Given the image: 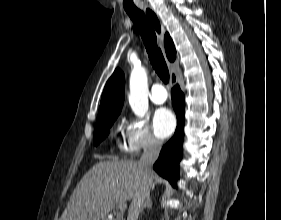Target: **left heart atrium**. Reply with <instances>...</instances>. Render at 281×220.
Returning a JSON list of instances; mask_svg holds the SVG:
<instances>
[{"label":"left heart atrium","mask_w":281,"mask_h":220,"mask_svg":"<svg viewBox=\"0 0 281 220\" xmlns=\"http://www.w3.org/2000/svg\"><path fill=\"white\" fill-rule=\"evenodd\" d=\"M175 126V117L169 109L160 108L154 113L153 128L159 138L163 139L171 135Z\"/></svg>","instance_id":"1"}]
</instances>
